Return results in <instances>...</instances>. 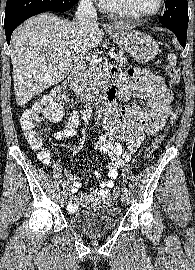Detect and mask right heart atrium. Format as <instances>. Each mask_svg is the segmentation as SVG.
I'll list each match as a JSON object with an SVG mask.
<instances>
[{
    "mask_svg": "<svg viewBox=\"0 0 195 270\" xmlns=\"http://www.w3.org/2000/svg\"><path fill=\"white\" fill-rule=\"evenodd\" d=\"M90 1L98 2L100 5H102L104 0H90Z\"/></svg>",
    "mask_w": 195,
    "mask_h": 270,
    "instance_id": "1",
    "label": "right heart atrium"
}]
</instances>
